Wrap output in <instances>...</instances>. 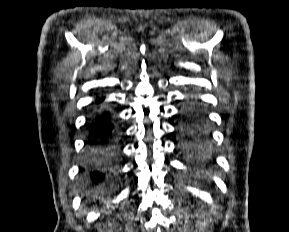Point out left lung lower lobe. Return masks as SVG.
Here are the masks:
<instances>
[{"label": "left lung lower lobe", "mask_w": 289, "mask_h": 232, "mask_svg": "<svg viewBox=\"0 0 289 232\" xmlns=\"http://www.w3.org/2000/svg\"><path fill=\"white\" fill-rule=\"evenodd\" d=\"M185 118H189L190 120L203 125L205 130H208L210 134V129L207 123V119L204 113L202 112V110L198 106L195 105V106L189 107L185 111Z\"/></svg>", "instance_id": "0a47b994"}]
</instances>
